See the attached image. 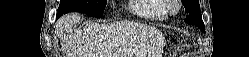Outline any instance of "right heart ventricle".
<instances>
[{
	"label": "right heart ventricle",
	"mask_w": 249,
	"mask_h": 57,
	"mask_svg": "<svg viewBox=\"0 0 249 57\" xmlns=\"http://www.w3.org/2000/svg\"><path fill=\"white\" fill-rule=\"evenodd\" d=\"M164 0H132L129 10L139 18L152 21L168 19V11Z\"/></svg>",
	"instance_id": "e07e8e85"
}]
</instances>
